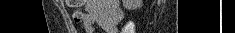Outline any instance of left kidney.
Wrapping results in <instances>:
<instances>
[{"instance_id":"obj_1","label":"left kidney","mask_w":235,"mask_h":33,"mask_svg":"<svg viewBox=\"0 0 235 33\" xmlns=\"http://www.w3.org/2000/svg\"><path fill=\"white\" fill-rule=\"evenodd\" d=\"M122 2L128 10H136L142 6V0H122Z\"/></svg>"}]
</instances>
